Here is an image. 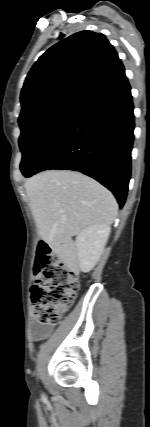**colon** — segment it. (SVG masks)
Instances as JSON below:
<instances>
[{
    "label": "colon",
    "instance_id": "colon-1",
    "mask_svg": "<svg viewBox=\"0 0 150 427\" xmlns=\"http://www.w3.org/2000/svg\"><path fill=\"white\" fill-rule=\"evenodd\" d=\"M35 273L32 318L39 325L55 326L73 303L79 278L44 242L38 245Z\"/></svg>",
    "mask_w": 150,
    "mask_h": 427
}]
</instances>
